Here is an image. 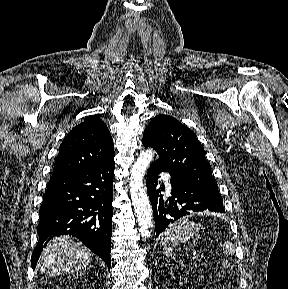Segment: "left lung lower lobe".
I'll return each instance as SVG.
<instances>
[{
	"label": "left lung lower lobe",
	"mask_w": 288,
	"mask_h": 289,
	"mask_svg": "<svg viewBox=\"0 0 288 289\" xmlns=\"http://www.w3.org/2000/svg\"><path fill=\"white\" fill-rule=\"evenodd\" d=\"M165 170L155 162L147 173V192L154 212L156 236L175 220L198 211L225 213L222 197L204 189L194 187L171 177V197L161 195L164 187L158 188V175Z\"/></svg>",
	"instance_id": "0a47b994"
}]
</instances>
